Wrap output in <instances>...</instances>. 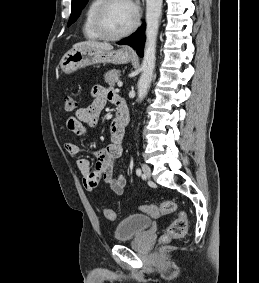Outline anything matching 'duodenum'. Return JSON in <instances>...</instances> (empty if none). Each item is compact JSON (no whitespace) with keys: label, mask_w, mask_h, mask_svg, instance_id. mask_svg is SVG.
Masks as SVG:
<instances>
[{"label":"duodenum","mask_w":259,"mask_h":283,"mask_svg":"<svg viewBox=\"0 0 259 283\" xmlns=\"http://www.w3.org/2000/svg\"><path fill=\"white\" fill-rule=\"evenodd\" d=\"M117 105V113L114 119V124L120 130H125L129 122V111L126 104L123 102L122 99L117 98L116 101Z\"/></svg>","instance_id":"1"}]
</instances>
